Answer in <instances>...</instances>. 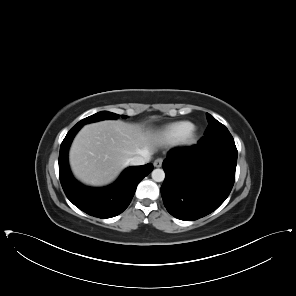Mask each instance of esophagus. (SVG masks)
I'll return each mask as SVG.
<instances>
[{
  "label": "esophagus",
  "mask_w": 296,
  "mask_h": 296,
  "mask_svg": "<svg viewBox=\"0 0 296 296\" xmlns=\"http://www.w3.org/2000/svg\"><path fill=\"white\" fill-rule=\"evenodd\" d=\"M162 163H163V158H157L155 161H154V166L159 168L162 166Z\"/></svg>",
  "instance_id": "esophagus-1"
}]
</instances>
